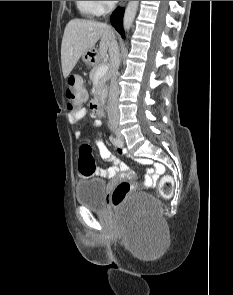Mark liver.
Listing matches in <instances>:
<instances>
[{
    "label": "liver",
    "mask_w": 233,
    "mask_h": 295,
    "mask_svg": "<svg viewBox=\"0 0 233 295\" xmlns=\"http://www.w3.org/2000/svg\"><path fill=\"white\" fill-rule=\"evenodd\" d=\"M115 38L114 32L106 23L73 19L65 27L61 45V63L64 78H67L79 58L91 50L101 39L97 59L107 55L109 46Z\"/></svg>",
    "instance_id": "6515ba94"
}]
</instances>
